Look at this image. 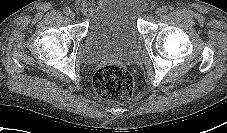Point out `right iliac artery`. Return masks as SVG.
<instances>
[{
	"label": "right iliac artery",
	"mask_w": 227,
	"mask_h": 133,
	"mask_svg": "<svg viewBox=\"0 0 227 133\" xmlns=\"http://www.w3.org/2000/svg\"><path fill=\"white\" fill-rule=\"evenodd\" d=\"M63 12H64L65 15H69V13L71 11H70V8L66 7V8H64Z\"/></svg>",
	"instance_id": "right-iliac-artery-1"
}]
</instances>
